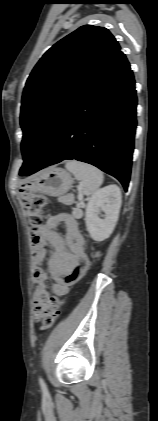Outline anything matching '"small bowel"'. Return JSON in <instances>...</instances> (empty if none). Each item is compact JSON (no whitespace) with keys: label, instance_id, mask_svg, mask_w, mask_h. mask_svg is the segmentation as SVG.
Instances as JSON below:
<instances>
[{"label":"small bowel","instance_id":"obj_1","mask_svg":"<svg viewBox=\"0 0 158 421\" xmlns=\"http://www.w3.org/2000/svg\"><path fill=\"white\" fill-rule=\"evenodd\" d=\"M59 223L65 225L64 237L55 231ZM84 245L85 240L79 230L78 222L70 214H60L41 228L32 249L34 303L37 316H41L44 311L52 307L58 308L59 299L69 293L70 286L89 268L90 261ZM47 246L53 248L48 267L54 279L52 285L54 297L48 292V275L42 267L47 256Z\"/></svg>","mask_w":158,"mask_h":421}]
</instances>
